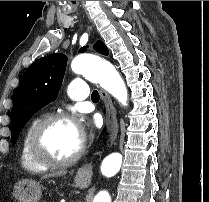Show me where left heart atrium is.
Masks as SVG:
<instances>
[{
  "mask_svg": "<svg viewBox=\"0 0 209 202\" xmlns=\"http://www.w3.org/2000/svg\"><path fill=\"white\" fill-rule=\"evenodd\" d=\"M76 127H77V132H78L79 137L83 140L85 137L88 125L84 121H81L79 123H76Z\"/></svg>",
  "mask_w": 209,
  "mask_h": 202,
  "instance_id": "obj_1",
  "label": "left heart atrium"
}]
</instances>
